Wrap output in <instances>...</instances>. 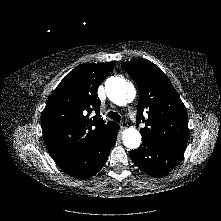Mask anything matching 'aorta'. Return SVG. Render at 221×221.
Returning a JSON list of instances; mask_svg holds the SVG:
<instances>
[{
	"mask_svg": "<svg viewBox=\"0 0 221 221\" xmlns=\"http://www.w3.org/2000/svg\"><path fill=\"white\" fill-rule=\"evenodd\" d=\"M105 91L108 98L118 106H125L130 94H135L134 86L122 77H110L106 80ZM123 144L129 149H136L141 143V134L133 127L123 133Z\"/></svg>",
	"mask_w": 221,
	"mask_h": 221,
	"instance_id": "obj_1",
	"label": "aorta"
}]
</instances>
